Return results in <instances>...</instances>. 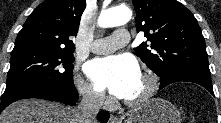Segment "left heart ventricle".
Here are the masks:
<instances>
[{
  "instance_id": "1",
  "label": "left heart ventricle",
  "mask_w": 221,
  "mask_h": 123,
  "mask_svg": "<svg viewBox=\"0 0 221 123\" xmlns=\"http://www.w3.org/2000/svg\"><path fill=\"white\" fill-rule=\"evenodd\" d=\"M146 87H147V82L140 75L133 83L128 94L124 97V99L132 100L140 97L146 90Z\"/></svg>"
}]
</instances>
